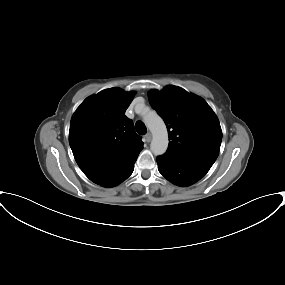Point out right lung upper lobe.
Wrapping results in <instances>:
<instances>
[{
	"label": "right lung upper lobe",
	"mask_w": 285,
	"mask_h": 285,
	"mask_svg": "<svg viewBox=\"0 0 285 285\" xmlns=\"http://www.w3.org/2000/svg\"><path fill=\"white\" fill-rule=\"evenodd\" d=\"M133 92L110 88L86 98L71 118L69 144L84 174L102 185L135 160L143 142L125 116Z\"/></svg>",
	"instance_id": "right-lung-upper-lobe-1"
}]
</instances>
